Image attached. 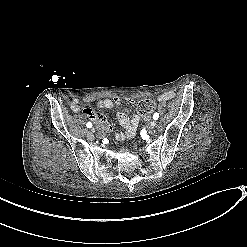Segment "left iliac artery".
<instances>
[{
    "label": "left iliac artery",
    "instance_id": "left-iliac-artery-1",
    "mask_svg": "<svg viewBox=\"0 0 247 247\" xmlns=\"http://www.w3.org/2000/svg\"><path fill=\"white\" fill-rule=\"evenodd\" d=\"M158 118H159V114H158V113H154L153 119H154V120H157Z\"/></svg>",
    "mask_w": 247,
    "mask_h": 247
}]
</instances>
